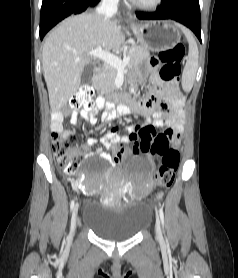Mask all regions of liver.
<instances>
[{
    "instance_id": "6515ba94",
    "label": "liver",
    "mask_w": 238,
    "mask_h": 278,
    "mask_svg": "<svg viewBox=\"0 0 238 278\" xmlns=\"http://www.w3.org/2000/svg\"><path fill=\"white\" fill-rule=\"evenodd\" d=\"M124 41L120 21L113 15L83 13L62 21L46 37L42 51L51 110L59 111L77 93L84 67L90 63L88 52L97 47L117 50Z\"/></svg>"
}]
</instances>
